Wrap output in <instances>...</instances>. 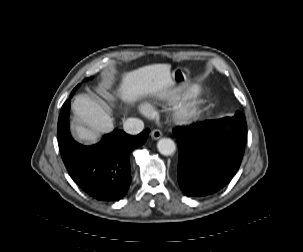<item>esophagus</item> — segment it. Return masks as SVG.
<instances>
[{"label": "esophagus", "mask_w": 303, "mask_h": 252, "mask_svg": "<svg viewBox=\"0 0 303 252\" xmlns=\"http://www.w3.org/2000/svg\"><path fill=\"white\" fill-rule=\"evenodd\" d=\"M150 135L152 139L158 140L159 138L162 137V132L158 129H154L151 131Z\"/></svg>", "instance_id": "obj_1"}]
</instances>
